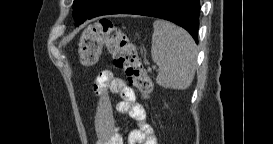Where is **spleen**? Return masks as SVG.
Wrapping results in <instances>:
<instances>
[{
  "mask_svg": "<svg viewBox=\"0 0 273 144\" xmlns=\"http://www.w3.org/2000/svg\"><path fill=\"white\" fill-rule=\"evenodd\" d=\"M151 55L159 66L156 82L165 88L187 89L194 78L196 45L183 28L164 20L153 23Z\"/></svg>",
  "mask_w": 273,
  "mask_h": 144,
  "instance_id": "obj_1",
  "label": "spleen"
}]
</instances>
